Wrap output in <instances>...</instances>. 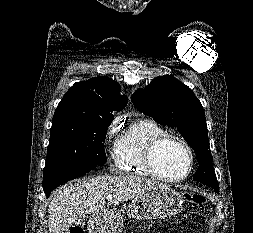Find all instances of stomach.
<instances>
[{"mask_svg": "<svg viewBox=\"0 0 253 233\" xmlns=\"http://www.w3.org/2000/svg\"><path fill=\"white\" fill-rule=\"evenodd\" d=\"M182 195L168 186H160L135 198L128 206V215L137 219H165L182 208ZM122 217L117 210L101 212L91 218L90 233H119Z\"/></svg>", "mask_w": 253, "mask_h": 233, "instance_id": "obj_1", "label": "stomach"}]
</instances>
